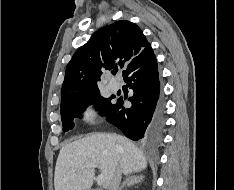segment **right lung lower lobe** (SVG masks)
<instances>
[{"label": "right lung lower lobe", "instance_id": "obj_1", "mask_svg": "<svg viewBox=\"0 0 234 190\" xmlns=\"http://www.w3.org/2000/svg\"><path fill=\"white\" fill-rule=\"evenodd\" d=\"M123 78L133 90L129 98L132 106L124 108V101L119 98L107 121L132 140H158L163 128V105L157 61L151 46L129 63Z\"/></svg>", "mask_w": 234, "mask_h": 190}]
</instances>
